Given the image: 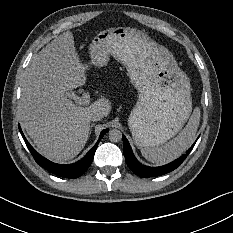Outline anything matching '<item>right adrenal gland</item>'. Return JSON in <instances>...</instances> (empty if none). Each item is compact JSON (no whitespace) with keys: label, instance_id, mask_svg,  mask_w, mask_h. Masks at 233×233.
<instances>
[{"label":"right adrenal gland","instance_id":"obj_1","mask_svg":"<svg viewBox=\"0 0 233 233\" xmlns=\"http://www.w3.org/2000/svg\"><path fill=\"white\" fill-rule=\"evenodd\" d=\"M95 124H91L90 125V132H89V136L91 135V132H92V128L94 127Z\"/></svg>","mask_w":233,"mask_h":233}]
</instances>
